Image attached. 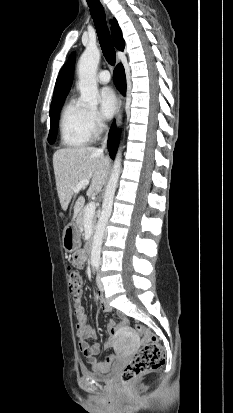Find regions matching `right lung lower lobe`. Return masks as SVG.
<instances>
[{
  "instance_id": "obj_1",
  "label": "right lung lower lobe",
  "mask_w": 233,
  "mask_h": 413,
  "mask_svg": "<svg viewBox=\"0 0 233 413\" xmlns=\"http://www.w3.org/2000/svg\"><path fill=\"white\" fill-rule=\"evenodd\" d=\"M114 82L116 87L124 94L126 88L125 72L121 64H119L114 70ZM120 132L116 128L115 121L113 122L108 136V149L110 156L113 159L119 143Z\"/></svg>"
}]
</instances>
